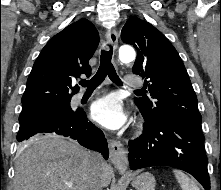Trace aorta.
<instances>
[{
	"mask_svg": "<svg viewBox=\"0 0 221 190\" xmlns=\"http://www.w3.org/2000/svg\"><path fill=\"white\" fill-rule=\"evenodd\" d=\"M135 50L129 45H123L119 48V59L124 62H132L135 60Z\"/></svg>",
	"mask_w": 221,
	"mask_h": 190,
	"instance_id": "762f6f07",
	"label": "aorta"
}]
</instances>
